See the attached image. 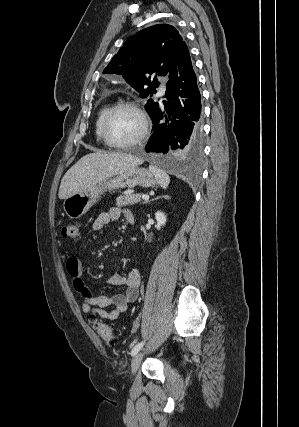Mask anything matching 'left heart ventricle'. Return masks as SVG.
<instances>
[{"label":"left heart ventricle","mask_w":299,"mask_h":427,"mask_svg":"<svg viewBox=\"0 0 299 427\" xmlns=\"http://www.w3.org/2000/svg\"><path fill=\"white\" fill-rule=\"evenodd\" d=\"M141 130L139 116L132 110H118L111 118L108 133L114 142L123 143L134 139Z\"/></svg>","instance_id":"b2bd125f"}]
</instances>
